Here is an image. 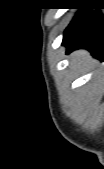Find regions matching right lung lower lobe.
<instances>
[{"label":"right lung lower lobe","instance_id":"right-lung-lower-lobe-1","mask_svg":"<svg viewBox=\"0 0 104 169\" xmlns=\"http://www.w3.org/2000/svg\"><path fill=\"white\" fill-rule=\"evenodd\" d=\"M63 45L67 53L88 49L96 58H104V17L97 10L80 8L64 32Z\"/></svg>","mask_w":104,"mask_h":169}]
</instances>
